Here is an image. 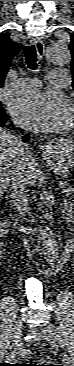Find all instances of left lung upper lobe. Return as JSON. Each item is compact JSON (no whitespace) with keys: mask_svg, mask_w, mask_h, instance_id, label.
<instances>
[{"mask_svg":"<svg viewBox=\"0 0 74 366\" xmlns=\"http://www.w3.org/2000/svg\"><path fill=\"white\" fill-rule=\"evenodd\" d=\"M70 37H71V43L69 45V49L72 53L71 70H72V74H73L72 86L74 88V34H72Z\"/></svg>","mask_w":74,"mask_h":366,"instance_id":"obj_1","label":"left lung upper lobe"}]
</instances>
